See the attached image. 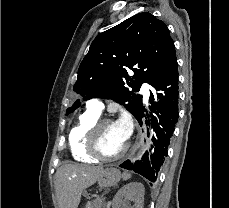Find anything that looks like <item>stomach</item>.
<instances>
[{
    "label": "stomach",
    "mask_w": 229,
    "mask_h": 208,
    "mask_svg": "<svg viewBox=\"0 0 229 208\" xmlns=\"http://www.w3.org/2000/svg\"><path fill=\"white\" fill-rule=\"evenodd\" d=\"M120 176L121 174L116 168H106V170L101 172L97 182L100 188H111V186H116Z\"/></svg>",
    "instance_id": "obj_1"
}]
</instances>
